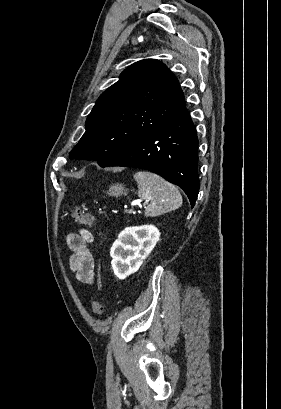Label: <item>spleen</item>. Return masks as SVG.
Returning <instances> with one entry per match:
<instances>
[{"instance_id": "3e777b00", "label": "spleen", "mask_w": 281, "mask_h": 409, "mask_svg": "<svg viewBox=\"0 0 281 409\" xmlns=\"http://www.w3.org/2000/svg\"><path fill=\"white\" fill-rule=\"evenodd\" d=\"M134 178L138 184V196L147 202L150 200L146 217H158L182 207L183 198L175 184L146 170L135 172Z\"/></svg>"}]
</instances>
